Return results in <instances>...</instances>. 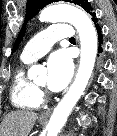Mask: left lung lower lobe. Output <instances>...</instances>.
<instances>
[{"label":"left lung lower lobe","instance_id":"left-lung-lower-lobe-1","mask_svg":"<svg viewBox=\"0 0 117 136\" xmlns=\"http://www.w3.org/2000/svg\"><path fill=\"white\" fill-rule=\"evenodd\" d=\"M92 16V21L94 22L95 28H96V32H97V37H98V42H99V47H98V53H102L103 52V34H102V29L101 26L98 22V19L95 16V13L91 14Z\"/></svg>","mask_w":117,"mask_h":136}]
</instances>
